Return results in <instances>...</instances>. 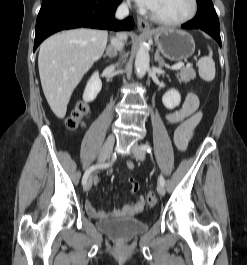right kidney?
Segmentation results:
<instances>
[{
  "label": "right kidney",
  "mask_w": 247,
  "mask_h": 265,
  "mask_svg": "<svg viewBox=\"0 0 247 265\" xmlns=\"http://www.w3.org/2000/svg\"><path fill=\"white\" fill-rule=\"evenodd\" d=\"M101 88L102 82L99 78V73L95 72L87 82L83 93V100L86 102L93 101L100 92Z\"/></svg>",
  "instance_id": "ca27d5eb"
}]
</instances>
